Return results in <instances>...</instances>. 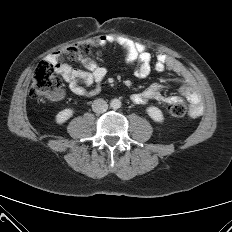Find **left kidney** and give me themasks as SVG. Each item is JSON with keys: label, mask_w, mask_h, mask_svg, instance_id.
<instances>
[{"label": "left kidney", "mask_w": 232, "mask_h": 232, "mask_svg": "<svg viewBox=\"0 0 232 232\" xmlns=\"http://www.w3.org/2000/svg\"><path fill=\"white\" fill-rule=\"evenodd\" d=\"M147 111V114L155 121V122H163L164 120V117H163V114H162V111L157 108V107H154V106H151V107H148L146 109Z\"/></svg>", "instance_id": "obj_1"}]
</instances>
